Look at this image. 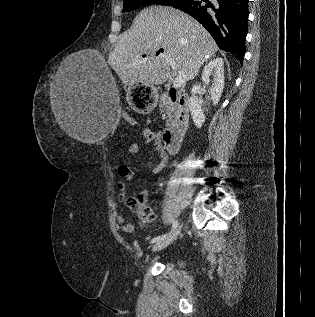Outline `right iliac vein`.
Masks as SVG:
<instances>
[{"label":"right iliac vein","mask_w":315,"mask_h":317,"mask_svg":"<svg viewBox=\"0 0 315 317\" xmlns=\"http://www.w3.org/2000/svg\"><path fill=\"white\" fill-rule=\"evenodd\" d=\"M179 233H180V227L176 228L171 234H169L164 239L155 243L152 247V252L160 251V250L166 248L167 246H169L174 240H176Z\"/></svg>","instance_id":"63e3f726"}]
</instances>
